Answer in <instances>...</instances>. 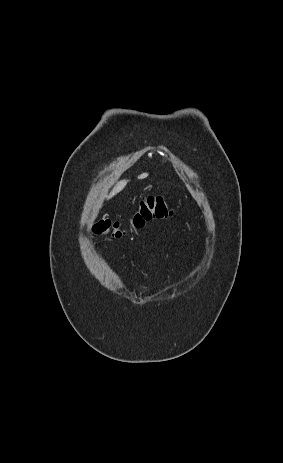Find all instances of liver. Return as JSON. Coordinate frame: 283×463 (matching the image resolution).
Segmentation results:
<instances>
[{"label":"liver","mask_w":283,"mask_h":463,"mask_svg":"<svg viewBox=\"0 0 283 463\" xmlns=\"http://www.w3.org/2000/svg\"><path fill=\"white\" fill-rule=\"evenodd\" d=\"M148 176V173H142L141 175L138 176V179H144ZM128 180H121L117 182V184L113 187L112 191L110 192L109 195L106 196L107 199H111L113 196H115L117 193L123 190V188L126 186Z\"/></svg>","instance_id":"6515ba94"}]
</instances>
